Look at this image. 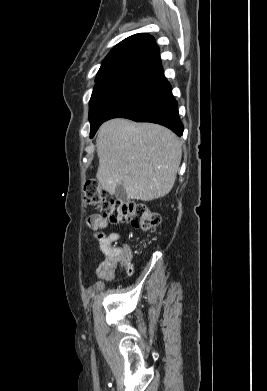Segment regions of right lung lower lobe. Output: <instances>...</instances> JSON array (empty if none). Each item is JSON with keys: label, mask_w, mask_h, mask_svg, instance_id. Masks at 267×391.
I'll use <instances>...</instances> for the list:
<instances>
[{"label": "right lung lower lobe", "mask_w": 267, "mask_h": 391, "mask_svg": "<svg viewBox=\"0 0 267 391\" xmlns=\"http://www.w3.org/2000/svg\"><path fill=\"white\" fill-rule=\"evenodd\" d=\"M171 90V85L161 72L118 105L106 120L124 117L137 122L157 123L181 136L184 127Z\"/></svg>", "instance_id": "right-lung-lower-lobe-1"}]
</instances>
